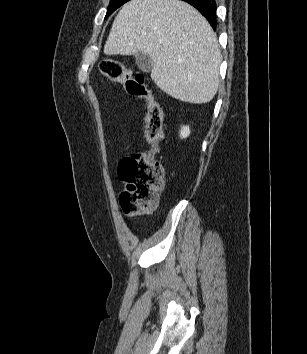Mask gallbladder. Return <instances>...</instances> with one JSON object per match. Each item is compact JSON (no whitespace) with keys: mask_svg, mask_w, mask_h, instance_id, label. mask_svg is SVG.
<instances>
[{"mask_svg":"<svg viewBox=\"0 0 307 354\" xmlns=\"http://www.w3.org/2000/svg\"><path fill=\"white\" fill-rule=\"evenodd\" d=\"M135 63L143 72H150L154 65L150 56L143 52L135 54Z\"/></svg>","mask_w":307,"mask_h":354,"instance_id":"obj_1","label":"gallbladder"}]
</instances>
